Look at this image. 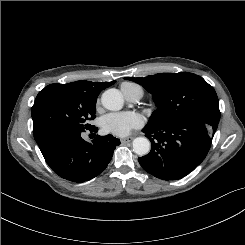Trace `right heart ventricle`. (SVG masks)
Returning <instances> with one entry per match:
<instances>
[{
	"instance_id": "obj_1",
	"label": "right heart ventricle",
	"mask_w": 245,
	"mask_h": 245,
	"mask_svg": "<svg viewBox=\"0 0 245 245\" xmlns=\"http://www.w3.org/2000/svg\"><path fill=\"white\" fill-rule=\"evenodd\" d=\"M120 88L125 96L135 89H141L138 85L132 82H123Z\"/></svg>"
}]
</instances>
